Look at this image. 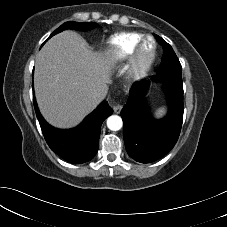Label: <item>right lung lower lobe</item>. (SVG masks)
<instances>
[{"label":"right lung lower lobe","instance_id":"obj_1","mask_svg":"<svg viewBox=\"0 0 227 227\" xmlns=\"http://www.w3.org/2000/svg\"><path fill=\"white\" fill-rule=\"evenodd\" d=\"M33 102L42 133L52 151L74 164L85 163L96 155L101 125L113 113L106 101L88 115L81 125L68 130L54 128L44 120L39 112L34 93Z\"/></svg>","mask_w":227,"mask_h":227}]
</instances>
